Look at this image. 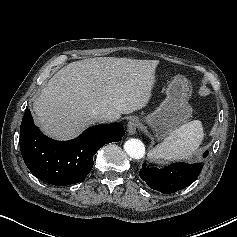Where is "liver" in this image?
I'll return each instance as SVG.
<instances>
[{
  "mask_svg": "<svg viewBox=\"0 0 237 237\" xmlns=\"http://www.w3.org/2000/svg\"><path fill=\"white\" fill-rule=\"evenodd\" d=\"M158 60L88 58L60 69L34 100L36 123L55 139H69L97 122L95 113L120 118L148 104Z\"/></svg>",
  "mask_w": 237,
  "mask_h": 237,
  "instance_id": "1",
  "label": "liver"
}]
</instances>
